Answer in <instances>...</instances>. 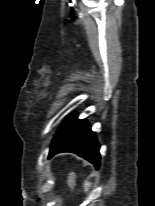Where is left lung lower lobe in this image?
<instances>
[{
    "label": "left lung lower lobe",
    "instance_id": "obj_1",
    "mask_svg": "<svg viewBox=\"0 0 155 206\" xmlns=\"http://www.w3.org/2000/svg\"><path fill=\"white\" fill-rule=\"evenodd\" d=\"M99 144L95 133L86 120H79L71 130L50 147L49 158L61 152L75 153L98 169L100 165Z\"/></svg>",
    "mask_w": 155,
    "mask_h": 206
}]
</instances>
